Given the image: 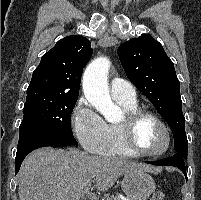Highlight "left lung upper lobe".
<instances>
[{"label": "left lung upper lobe", "mask_w": 201, "mask_h": 200, "mask_svg": "<svg viewBox=\"0 0 201 200\" xmlns=\"http://www.w3.org/2000/svg\"><path fill=\"white\" fill-rule=\"evenodd\" d=\"M117 52L127 77L168 123L174 149L187 154L179 80L162 45L152 36L143 34L120 45Z\"/></svg>", "instance_id": "left-lung-upper-lobe-1"}]
</instances>
